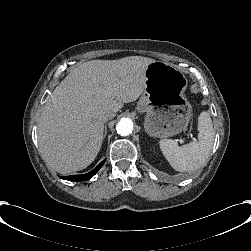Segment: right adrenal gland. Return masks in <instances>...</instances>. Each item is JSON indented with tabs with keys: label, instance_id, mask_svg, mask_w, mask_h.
<instances>
[{
	"label": "right adrenal gland",
	"instance_id": "right-adrenal-gland-1",
	"mask_svg": "<svg viewBox=\"0 0 251 251\" xmlns=\"http://www.w3.org/2000/svg\"><path fill=\"white\" fill-rule=\"evenodd\" d=\"M106 135H107V126H105V127H104V135H103V140H104V138L106 137Z\"/></svg>",
	"mask_w": 251,
	"mask_h": 251
}]
</instances>
